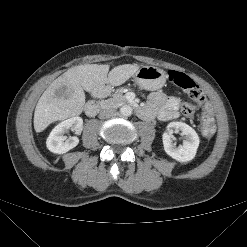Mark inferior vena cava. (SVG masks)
<instances>
[{"instance_id": "602c4592", "label": "inferior vena cava", "mask_w": 247, "mask_h": 247, "mask_svg": "<svg viewBox=\"0 0 247 247\" xmlns=\"http://www.w3.org/2000/svg\"><path fill=\"white\" fill-rule=\"evenodd\" d=\"M116 113H117L116 110L113 108H105L100 111L99 118L100 119L111 118L114 117Z\"/></svg>"}]
</instances>
